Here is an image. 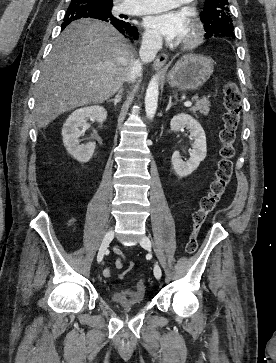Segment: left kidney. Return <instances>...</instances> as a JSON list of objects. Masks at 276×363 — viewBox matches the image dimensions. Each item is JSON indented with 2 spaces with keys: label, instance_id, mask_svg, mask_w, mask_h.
<instances>
[{
  "label": "left kidney",
  "instance_id": "left-kidney-1",
  "mask_svg": "<svg viewBox=\"0 0 276 363\" xmlns=\"http://www.w3.org/2000/svg\"><path fill=\"white\" fill-rule=\"evenodd\" d=\"M188 128L195 142L192 145L190 158L183 161L180 153L175 151L172 155L173 169L179 177H186L195 171L205 159L207 153L206 135L200 123L188 114H178L171 119L170 128L178 132L181 128Z\"/></svg>",
  "mask_w": 276,
  "mask_h": 363
}]
</instances>
